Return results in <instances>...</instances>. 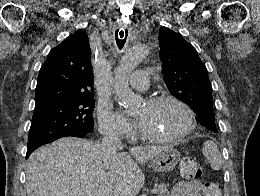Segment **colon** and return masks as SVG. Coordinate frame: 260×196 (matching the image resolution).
Returning <instances> with one entry per match:
<instances>
[{"mask_svg": "<svg viewBox=\"0 0 260 196\" xmlns=\"http://www.w3.org/2000/svg\"><path fill=\"white\" fill-rule=\"evenodd\" d=\"M180 177L182 182L200 181L203 178L202 167L194 160L183 159L180 165Z\"/></svg>", "mask_w": 260, "mask_h": 196, "instance_id": "obj_1", "label": "colon"}]
</instances>
